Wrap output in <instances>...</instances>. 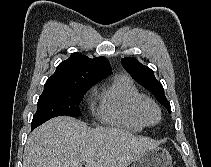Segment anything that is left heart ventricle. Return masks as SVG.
I'll list each match as a JSON object with an SVG mask.
<instances>
[{
	"label": "left heart ventricle",
	"mask_w": 211,
	"mask_h": 167,
	"mask_svg": "<svg viewBox=\"0 0 211 167\" xmlns=\"http://www.w3.org/2000/svg\"><path fill=\"white\" fill-rule=\"evenodd\" d=\"M147 117L151 121H156L157 118H158V114H157V112H156V110L154 108L149 107L147 109Z\"/></svg>",
	"instance_id": "1"
}]
</instances>
